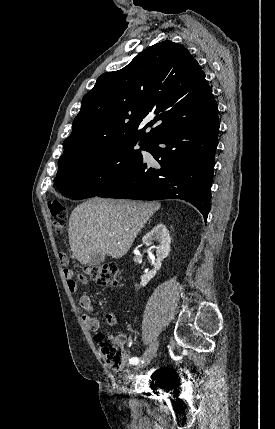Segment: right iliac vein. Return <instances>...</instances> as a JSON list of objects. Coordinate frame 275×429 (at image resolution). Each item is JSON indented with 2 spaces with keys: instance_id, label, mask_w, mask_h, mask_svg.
<instances>
[{
  "instance_id": "right-iliac-vein-1",
  "label": "right iliac vein",
  "mask_w": 275,
  "mask_h": 429,
  "mask_svg": "<svg viewBox=\"0 0 275 429\" xmlns=\"http://www.w3.org/2000/svg\"><path fill=\"white\" fill-rule=\"evenodd\" d=\"M158 340H154L142 356V361L136 366V369L147 366L157 352Z\"/></svg>"
}]
</instances>
